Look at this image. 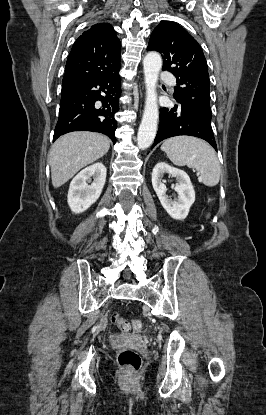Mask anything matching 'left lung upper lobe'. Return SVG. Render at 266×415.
Wrapping results in <instances>:
<instances>
[{
    "label": "left lung upper lobe",
    "instance_id": "1",
    "mask_svg": "<svg viewBox=\"0 0 266 415\" xmlns=\"http://www.w3.org/2000/svg\"><path fill=\"white\" fill-rule=\"evenodd\" d=\"M147 49L161 53L163 70L177 78V103L211 126L208 67L198 42L178 24L164 21L153 30Z\"/></svg>",
    "mask_w": 266,
    "mask_h": 415
}]
</instances>
